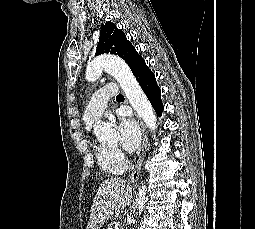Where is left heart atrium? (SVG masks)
<instances>
[{"instance_id":"39dd6f15","label":"left heart atrium","mask_w":255,"mask_h":229,"mask_svg":"<svg viewBox=\"0 0 255 229\" xmlns=\"http://www.w3.org/2000/svg\"><path fill=\"white\" fill-rule=\"evenodd\" d=\"M118 131L122 147L129 152L136 150L141 139L140 129L136 122L123 116L118 124Z\"/></svg>"}]
</instances>
